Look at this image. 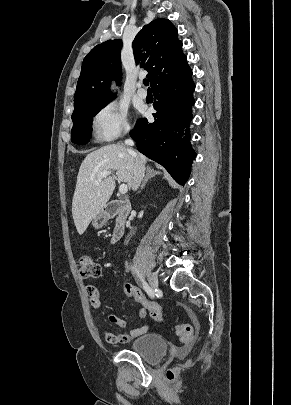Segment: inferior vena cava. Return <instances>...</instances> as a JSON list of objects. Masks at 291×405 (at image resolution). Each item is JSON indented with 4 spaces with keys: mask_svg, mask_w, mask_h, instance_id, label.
<instances>
[{
    "mask_svg": "<svg viewBox=\"0 0 291 405\" xmlns=\"http://www.w3.org/2000/svg\"><path fill=\"white\" fill-rule=\"evenodd\" d=\"M125 145L133 146L134 141L131 139L125 140ZM129 154L133 157V178H132V189L137 190L143 177H144V165L137 156L136 152L131 148H128Z\"/></svg>",
    "mask_w": 291,
    "mask_h": 405,
    "instance_id": "inferior-vena-cava-1",
    "label": "inferior vena cava"
}]
</instances>
